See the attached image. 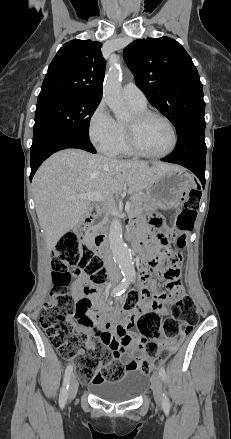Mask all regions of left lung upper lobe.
<instances>
[{
	"label": "left lung upper lobe",
	"mask_w": 231,
	"mask_h": 439,
	"mask_svg": "<svg viewBox=\"0 0 231 439\" xmlns=\"http://www.w3.org/2000/svg\"><path fill=\"white\" fill-rule=\"evenodd\" d=\"M138 88L175 126L205 122L203 88L183 46L169 37L137 39L123 51Z\"/></svg>",
	"instance_id": "obj_1"
}]
</instances>
